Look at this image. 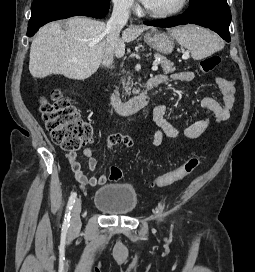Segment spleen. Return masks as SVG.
Segmentation results:
<instances>
[{
    "mask_svg": "<svg viewBox=\"0 0 255 272\" xmlns=\"http://www.w3.org/2000/svg\"><path fill=\"white\" fill-rule=\"evenodd\" d=\"M170 34L181 46L190 51L195 60L210 56L224 47V43L218 36L196 25L173 28Z\"/></svg>",
    "mask_w": 255,
    "mask_h": 272,
    "instance_id": "1",
    "label": "spleen"
}]
</instances>
